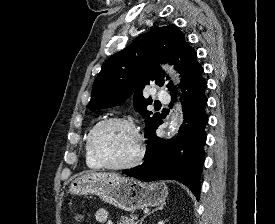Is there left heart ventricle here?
Listing matches in <instances>:
<instances>
[{"instance_id": "b2bd125f", "label": "left heart ventricle", "mask_w": 275, "mask_h": 224, "mask_svg": "<svg viewBox=\"0 0 275 224\" xmlns=\"http://www.w3.org/2000/svg\"><path fill=\"white\" fill-rule=\"evenodd\" d=\"M95 147L107 162L122 164L135 156L137 140L128 126L122 123H109L96 133Z\"/></svg>"}]
</instances>
